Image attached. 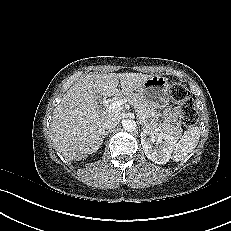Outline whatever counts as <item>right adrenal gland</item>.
<instances>
[{
	"instance_id": "2a0ac1e0",
	"label": "right adrenal gland",
	"mask_w": 231,
	"mask_h": 231,
	"mask_svg": "<svg viewBox=\"0 0 231 231\" xmlns=\"http://www.w3.org/2000/svg\"><path fill=\"white\" fill-rule=\"evenodd\" d=\"M109 132H110V131H106V133H105V136H104V137L108 136Z\"/></svg>"
}]
</instances>
